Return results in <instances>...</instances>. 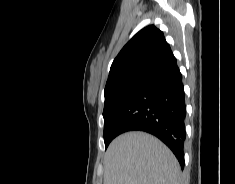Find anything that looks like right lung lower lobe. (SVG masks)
<instances>
[{
	"label": "right lung lower lobe",
	"mask_w": 235,
	"mask_h": 184,
	"mask_svg": "<svg viewBox=\"0 0 235 184\" xmlns=\"http://www.w3.org/2000/svg\"><path fill=\"white\" fill-rule=\"evenodd\" d=\"M185 94L182 75L172 54L142 78L125 97L110 130L148 132L164 142L184 168Z\"/></svg>",
	"instance_id": "98d812e1"
}]
</instances>
